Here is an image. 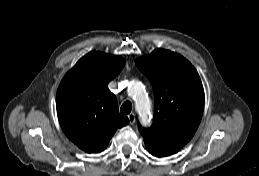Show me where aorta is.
Returning <instances> with one entry per match:
<instances>
[{
    "mask_svg": "<svg viewBox=\"0 0 259 176\" xmlns=\"http://www.w3.org/2000/svg\"><path fill=\"white\" fill-rule=\"evenodd\" d=\"M132 89L134 90L136 109L142 118V121L146 123V119L151 109L150 99L139 82H134Z\"/></svg>",
    "mask_w": 259,
    "mask_h": 176,
    "instance_id": "aorta-1",
    "label": "aorta"
}]
</instances>
